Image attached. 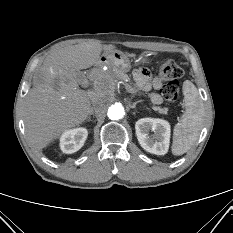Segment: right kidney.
I'll return each instance as SVG.
<instances>
[{
    "mask_svg": "<svg viewBox=\"0 0 233 233\" xmlns=\"http://www.w3.org/2000/svg\"><path fill=\"white\" fill-rule=\"evenodd\" d=\"M88 136L86 128H75L65 131L60 137V148L63 153L72 154L84 145Z\"/></svg>",
    "mask_w": 233,
    "mask_h": 233,
    "instance_id": "1",
    "label": "right kidney"
}]
</instances>
